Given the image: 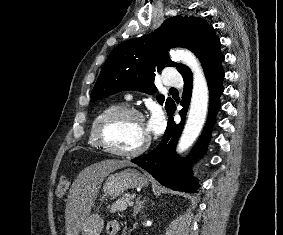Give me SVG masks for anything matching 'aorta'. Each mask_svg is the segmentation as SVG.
<instances>
[{"label":"aorta","instance_id":"aorta-1","mask_svg":"<svg viewBox=\"0 0 283 235\" xmlns=\"http://www.w3.org/2000/svg\"><path fill=\"white\" fill-rule=\"evenodd\" d=\"M171 58L187 65L193 73V90L187 121L177 145V152L186 151L198 138L203 128L209 101V90L199 61L188 50L170 52Z\"/></svg>","mask_w":283,"mask_h":235}]
</instances>
